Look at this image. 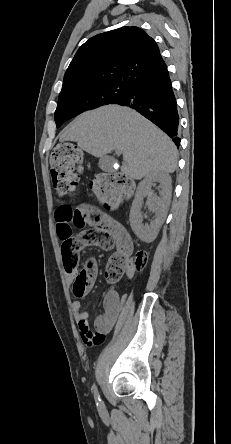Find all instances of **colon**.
I'll use <instances>...</instances> for the list:
<instances>
[{"label": "colon", "instance_id": "obj_1", "mask_svg": "<svg viewBox=\"0 0 231 444\" xmlns=\"http://www.w3.org/2000/svg\"><path fill=\"white\" fill-rule=\"evenodd\" d=\"M81 161V151L71 144L59 145L50 157V174L54 188L59 195L72 194L78 184V164ZM92 189L107 209L115 208L121 200L129 196L134 190V183L123 174H103L92 182ZM98 218L97 213L83 214L74 211L71 214L72 224L83 228L90 221ZM65 269H77L78 254L72 250L63 253ZM148 260L144 251L138 252L131 262L134 270L142 269ZM130 265V255L125 251H116L109 259L106 268V278L110 283L118 282L126 268ZM96 273L95 262L90 259L85 266L76 272L73 280V293L82 297L91 288Z\"/></svg>", "mask_w": 231, "mask_h": 444}]
</instances>
